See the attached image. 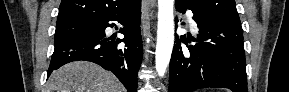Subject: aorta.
Wrapping results in <instances>:
<instances>
[{
  "label": "aorta",
  "mask_w": 289,
  "mask_h": 92,
  "mask_svg": "<svg viewBox=\"0 0 289 92\" xmlns=\"http://www.w3.org/2000/svg\"><path fill=\"white\" fill-rule=\"evenodd\" d=\"M174 0H158V29L155 52L156 71L164 76L174 44Z\"/></svg>",
  "instance_id": "1"
}]
</instances>
